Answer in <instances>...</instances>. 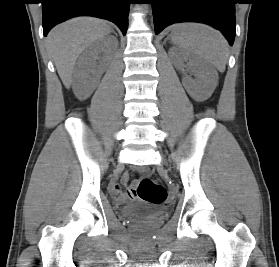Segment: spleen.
Wrapping results in <instances>:
<instances>
[{
	"instance_id": "obj_1",
	"label": "spleen",
	"mask_w": 279,
	"mask_h": 267,
	"mask_svg": "<svg viewBox=\"0 0 279 267\" xmlns=\"http://www.w3.org/2000/svg\"><path fill=\"white\" fill-rule=\"evenodd\" d=\"M172 42L193 55L225 71L228 60V43L220 32L199 23H180L170 34Z\"/></svg>"
}]
</instances>
